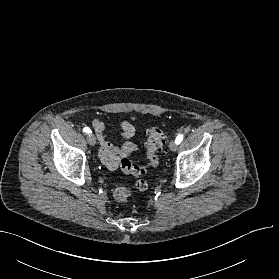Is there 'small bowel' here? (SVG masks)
Segmentation results:
<instances>
[{
  "instance_id": "c3829d8e",
  "label": "small bowel",
  "mask_w": 279,
  "mask_h": 279,
  "mask_svg": "<svg viewBox=\"0 0 279 279\" xmlns=\"http://www.w3.org/2000/svg\"><path fill=\"white\" fill-rule=\"evenodd\" d=\"M92 126L100 145V160L109 170L117 169L121 159L126 158L137 149L136 145L129 141H125L119 146H115L109 142L106 137V126L101 119L95 118L92 121ZM119 129L121 136L126 140L131 138L135 132L134 126L127 121L121 122Z\"/></svg>"
}]
</instances>
